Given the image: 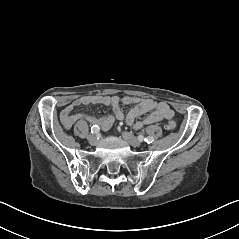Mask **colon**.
I'll use <instances>...</instances> for the list:
<instances>
[{"label": "colon", "mask_w": 239, "mask_h": 239, "mask_svg": "<svg viewBox=\"0 0 239 239\" xmlns=\"http://www.w3.org/2000/svg\"><path fill=\"white\" fill-rule=\"evenodd\" d=\"M166 128L170 131H173L176 128V123L173 120H171L166 124Z\"/></svg>", "instance_id": "1"}]
</instances>
